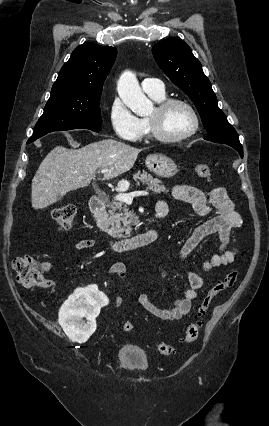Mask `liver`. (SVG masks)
<instances>
[{
  "mask_svg": "<svg viewBox=\"0 0 269 426\" xmlns=\"http://www.w3.org/2000/svg\"><path fill=\"white\" fill-rule=\"evenodd\" d=\"M139 153L140 149L113 139L90 143L81 149L56 146L43 159L32 180V207L46 208L69 191L88 186L98 169L107 170L99 180L129 171Z\"/></svg>",
  "mask_w": 269,
  "mask_h": 426,
  "instance_id": "6515ba94",
  "label": "liver"
}]
</instances>
